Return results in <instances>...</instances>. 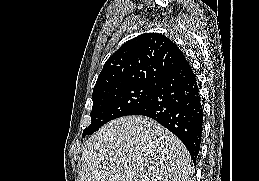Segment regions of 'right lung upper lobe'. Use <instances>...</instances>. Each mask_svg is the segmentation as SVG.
<instances>
[{"instance_id": "right-lung-upper-lobe-1", "label": "right lung upper lobe", "mask_w": 259, "mask_h": 181, "mask_svg": "<svg viewBox=\"0 0 259 181\" xmlns=\"http://www.w3.org/2000/svg\"><path fill=\"white\" fill-rule=\"evenodd\" d=\"M186 61L166 36L141 34L123 44L104 64L93 94L137 83H155Z\"/></svg>"}]
</instances>
